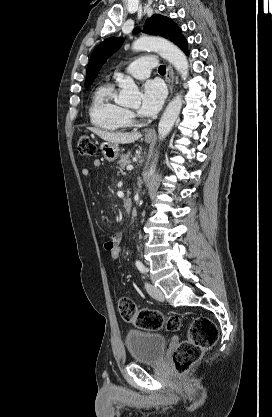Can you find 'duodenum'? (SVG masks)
Returning <instances> with one entry per match:
<instances>
[{"label":"duodenum","instance_id":"1","mask_svg":"<svg viewBox=\"0 0 272 417\" xmlns=\"http://www.w3.org/2000/svg\"><path fill=\"white\" fill-rule=\"evenodd\" d=\"M132 205H133V201H132V199L131 198H125L124 199V202H123V208H124V210L126 211V212H129V211H131V209H132Z\"/></svg>","mask_w":272,"mask_h":417}]
</instances>
